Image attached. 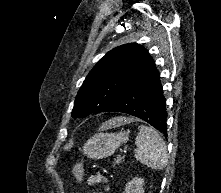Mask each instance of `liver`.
<instances>
[{"label":"liver","mask_w":221,"mask_h":193,"mask_svg":"<svg viewBox=\"0 0 221 193\" xmlns=\"http://www.w3.org/2000/svg\"><path fill=\"white\" fill-rule=\"evenodd\" d=\"M129 121H131V119H129V118H123V117L114 118V119H111V120L105 122L102 125V129H109L112 127H118V126H121V125L129 122Z\"/></svg>","instance_id":"liver-1"}]
</instances>
